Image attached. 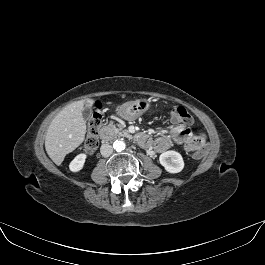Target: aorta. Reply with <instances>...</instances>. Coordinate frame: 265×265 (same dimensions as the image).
<instances>
[{"instance_id":"obj_1","label":"aorta","mask_w":265,"mask_h":265,"mask_svg":"<svg viewBox=\"0 0 265 265\" xmlns=\"http://www.w3.org/2000/svg\"><path fill=\"white\" fill-rule=\"evenodd\" d=\"M125 147H126V144H125V142L122 141V140H116V141H114V143H113V148H114V150L117 151V152H121V151H123V150L125 149Z\"/></svg>"}]
</instances>
